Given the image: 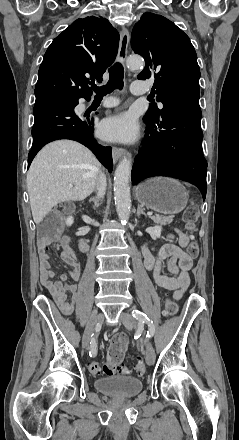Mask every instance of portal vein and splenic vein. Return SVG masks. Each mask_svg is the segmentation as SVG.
<instances>
[{"instance_id": "obj_1", "label": "portal vein and splenic vein", "mask_w": 239, "mask_h": 440, "mask_svg": "<svg viewBox=\"0 0 239 440\" xmlns=\"http://www.w3.org/2000/svg\"><path fill=\"white\" fill-rule=\"evenodd\" d=\"M70 188H73L72 184H69ZM153 213L152 212H148V216H151Z\"/></svg>"}]
</instances>
